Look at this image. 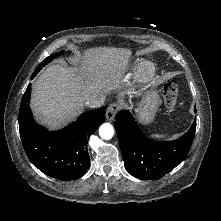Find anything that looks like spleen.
I'll return each instance as SVG.
<instances>
[{
    "label": "spleen",
    "mask_w": 221,
    "mask_h": 221,
    "mask_svg": "<svg viewBox=\"0 0 221 221\" xmlns=\"http://www.w3.org/2000/svg\"><path fill=\"white\" fill-rule=\"evenodd\" d=\"M152 137H155V138H163L164 135L154 134V135H152Z\"/></svg>",
    "instance_id": "3e777b00"
}]
</instances>
